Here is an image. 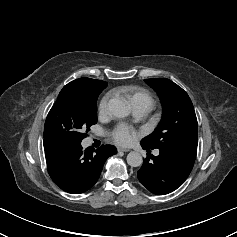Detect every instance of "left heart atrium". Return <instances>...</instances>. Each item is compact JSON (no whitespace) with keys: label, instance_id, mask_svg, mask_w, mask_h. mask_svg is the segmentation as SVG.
Here are the masks:
<instances>
[{"label":"left heart atrium","instance_id":"39dd6f15","mask_svg":"<svg viewBox=\"0 0 237 237\" xmlns=\"http://www.w3.org/2000/svg\"><path fill=\"white\" fill-rule=\"evenodd\" d=\"M138 136L139 134L135 130L126 125H118L112 132L113 140L118 145L122 146L133 144L137 140Z\"/></svg>","mask_w":237,"mask_h":237}]
</instances>
